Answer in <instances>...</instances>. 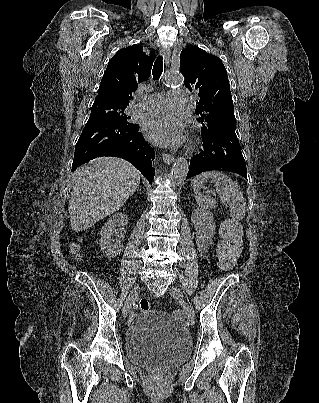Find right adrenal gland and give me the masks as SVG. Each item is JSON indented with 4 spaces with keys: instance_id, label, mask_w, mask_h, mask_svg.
I'll return each instance as SVG.
<instances>
[{
    "instance_id": "obj_1",
    "label": "right adrenal gland",
    "mask_w": 319,
    "mask_h": 403,
    "mask_svg": "<svg viewBox=\"0 0 319 403\" xmlns=\"http://www.w3.org/2000/svg\"><path fill=\"white\" fill-rule=\"evenodd\" d=\"M137 190H138V191H141V186H138Z\"/></svg>"
}]
</instances>
